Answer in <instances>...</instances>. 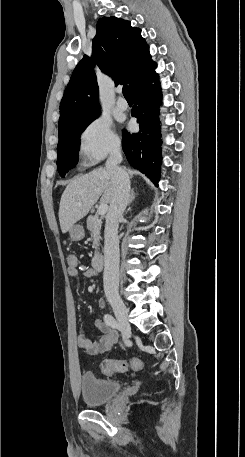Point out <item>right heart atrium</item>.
I'll return each mask as SVG.
<instances>
[{
	"label": "right heart atrium",
	"instance_id": "1",
	"mask_svg": "<svg viewBox=\"0 0 245 457\" xmlns=\"http://www.w3.org/2000/svg\"><path fill=\"white\" fill-rule=\"evenodd\" d=\"M118 144L119 139L112 130L111 122L104 117L92 120L80 135L84 154L94 161L103 159Z\"/></svg>",
	"mask_w": 245,
	"mask_h": 457
}]
</instances>
